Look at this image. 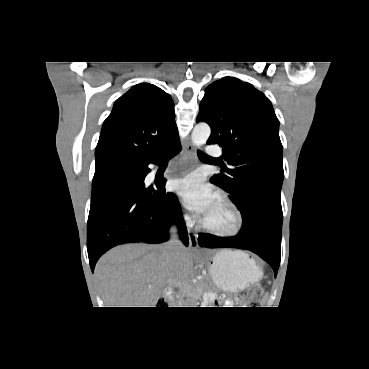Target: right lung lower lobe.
I'll return each instance as SVG.
<instances>
[{"mask_svg":"<svg viewBox=\"0 0 369 369\" xmlns=\"http://www.w3.org/2000/svg\"><path fill=\"white\" fill-rule=\"evenodd\" d=\"M181 150L179 140L147 159L126 163L92 187L87 225V249L91 270L102 254L124 243H162L168 229L179 224V235L188 246L187 228L178 198L165 191V179L146 186L150 163L160 165Z\"/></svg>","mask_w":369,"mask_h":369,"instance_id":"obj_1","label":"right lung lower lobe"}]
</instances>
